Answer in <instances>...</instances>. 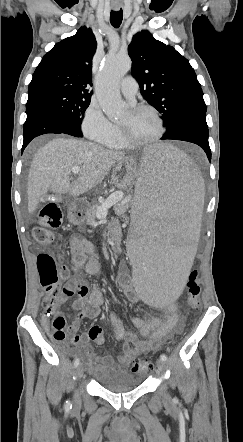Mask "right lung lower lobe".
Wrapping results in <instances>:
<instances>
[{"instance_id":"obj_1","label":"right lung lower lobe","mask_w":243,"mask_h":442,"mask_svg":"<svg viewBox=\"0 0 243 442\" xmlns=\"http://www.w3.org/2000/svg\"><path fill=\"white\" fill-rule=\"evenodd\" d=\"M27 119L24 123V141L22 150L30 141L42 134H69L83 137L81 130L58 112L47 107H31L26 110Z\"/></svg>"}]
</instances>
